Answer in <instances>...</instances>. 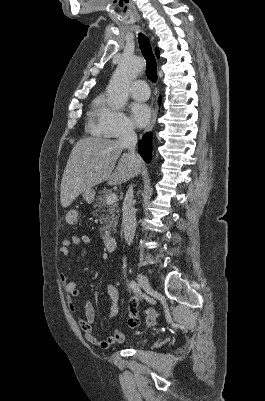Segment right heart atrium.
Returning a JSON list of instances; mask_svg holds the SVG:
<instances>
[{
    "label": "right heart atrium",
    "mask_w": 265,
    "mask_h": 401,
    "mask_svg": "<svg viewBox=\"0 0 265 401\" xmlns=\"http://www.w3.org/2000/svg\"><path fill=\"white\" fill-rule=\"evenodd\" d=\"M96 126L105 135L115 138H125L134 133V125L119 109L103 100L99 114L96 116Z\"/></svg>",
    "instance_id": "right-heart-atrium-1"
}]
</instances>
